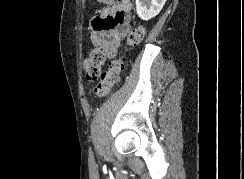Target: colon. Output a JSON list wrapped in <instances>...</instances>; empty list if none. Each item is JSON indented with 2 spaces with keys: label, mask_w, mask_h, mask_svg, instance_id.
Masks as SVG:
<instances>
[{
  "label": "colon",
  "mask_w": 244,
  "mask_h": 179,
  "mask_svg": "<svg viewBox=\"0 0 244 179\" xmlns=\"http://www.w3.org/2000/svg\"><path fill=\"white\" fill-rule=\"evenodd\" d=\"M111 0H101L102 3H110ZM120 12H117L119 14ZM143 25L135 26L127 38V48L139 45L145 36ZM106 56L105 48L101 45L92 50L89 57L84 62L86 78L89 83H94L100 77V82L95 86L94 93L98 97L108 96L120 81V76L125 65L126 54H121L112 62L108 70L101 75V68L104 65Z\"/></svg>",
  "instance_id": "obj_1"
}]
</instances>
